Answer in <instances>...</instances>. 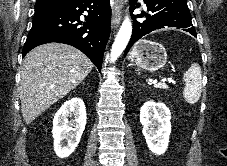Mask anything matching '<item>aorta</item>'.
I'll use <instances>...</instances> for the list:
<instances>
[{"mask_svg": "<svg viewBox=\"0 0 227 166\" xmlns=\"http://www.w3.org/2000/svg\"><path fill=\"white\" fill-rule=\"evenodd\" d=\"M132 34V24L129 18H126L121 28L115 38V41L112 45L111 53H110V60L111 62H114L117 60V58L122 54L124 49L126 48L130 37Z\"/></svg>", "mask_w": 227, "mask_h": 166, "instance_id": "762f6f07", "label": "aorta"}]
</instances>
